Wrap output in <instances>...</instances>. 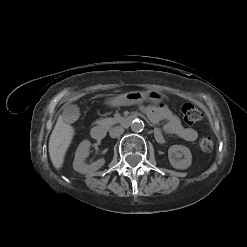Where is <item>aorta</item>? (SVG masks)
<instances>
[{"label":"aorta","instance_id":"obj_1","mask_svg":"<svg viewBox=\"0 0 247 247\" xmlns=\"http://www.w3.org/2000/svg\"><path fill=\"white\" fill-rule=\"evenodd\" d=\"M144 129V123L140 119H134L131 123V130L133 132H141Z\"/></svg>","mask_w":247,"mask_h":247}]
</instances>
